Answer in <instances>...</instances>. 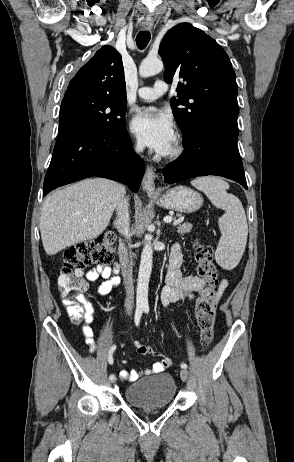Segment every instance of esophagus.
Wrapping results in <instances>:
<instances>
[{"instance_id":"obj_1","label":"esophagus","mask_w":294,"mask_h":462,"mask_svg":"<svg viewBox=\"0 0 294 462\" xmlns=\"http://www.w3.org/2000/svg\"><path fill=\"white\" fill-rule=\"evenodd\" d=\"M153 27L152 21H146L142 24L144 30H150ZM155 171L152 166H147L146 172L142 180V187L147 193L155 192Z\"/></svg>"}]
</instances>
